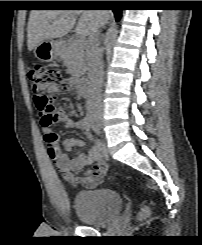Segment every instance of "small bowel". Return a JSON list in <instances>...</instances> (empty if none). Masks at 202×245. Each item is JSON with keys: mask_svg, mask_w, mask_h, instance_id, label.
I'll return each instance as SVG.
<instances>
[{"mask_svg": "<svg viewBox=\"0 0 202 245\" xmlns=\"http://www.w3.org/2000/svg\"><path fill=\"white\" fill-rule=\"evenodd\" d=\"M81 109L82 106L78 103L75 112L80 113ZM54 113L58 122L63 123L67 128L78 127L88 134L82 126V120L75 122L69 119L62 109H56ZM40 125L43 140L47 145L48 150L54 145H57L58 147L57 154L51 156V159L62 173L64 179L74 184H80L86 188H93L101 183L105 172V165L102 161L100 149L97 146L90 148L87 154L84 155L76 150L77 148L86 146V143L83 140L78 138L64 139L62 141V146L73 153V156L70 157L67 153L61 151L59 146V135L51 130V125H45L41 121ZM87 165H89L90 168L83 174H78V172L82 171Z\"/></svg>", "mask_w": 202, "mask_h": 245, "instance_id": "obj_1", "label": "small bowel"}]
</instances>
